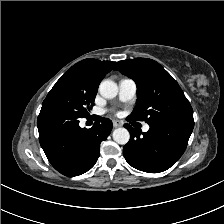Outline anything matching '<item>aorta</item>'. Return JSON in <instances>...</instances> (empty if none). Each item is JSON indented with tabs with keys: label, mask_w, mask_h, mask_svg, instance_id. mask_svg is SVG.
<instances>
[{
	"label": "aorta",
	"mask_w": 224,
	"mask_h": 224,
	"mask_svg": "<svg viewBox=\"0 0 224 224\" xmlns=\"http://www.w3.org/2000/svg\"><path fill=\"white\" fill-rule=\"evenodd\" d=\"M99 92L104 98H114L118 94V86L112 80H104L100 83ZM113 140L120 144L125 145L129 142L130 133L126 128H117L113 131Z\"/></svg>",
	"instance_id": "aorta-1"
}]
</instances>
